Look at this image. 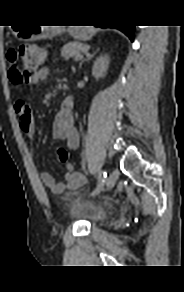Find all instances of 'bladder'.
I'll return each instance as SVG.
<instances>
[{
  "label": "bladder",
  "instance_id": "bladder-1",
  "mask_svg": "<svg viewBox=\"0 0 184 292\" xmlns=\"http://www.w3.org/2000/svg\"><path fill=\"white\" fill-rule=\"evenodd\" d=\"M66 207L72 218L83 220L90 225H97L108 217V210L104 205L90 202L77 194L66 198Z\"/></svg>",
  "mask_w": 184,
  "mask_h": 292
}]
</instances>
